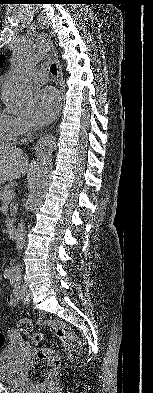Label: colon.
I'll return each instance as SVG.
<instances>
[{
	"instance_id": "5ec220e1",
	"label": "colon",
	"mask_w": 153,
	"mask_h": 393,
	"mask_svg": "<svg viewBox=\"0 0 153 393\" xmlns=\"http://www.w3.org/2000/svg\"><path fill=\"white\" fill-rule=\"evenodd\" d=\"M45 324L55 329L57 337L61 340L63 348L71 360H78L82 354V341L66 325L59 321L44 320ZM19 330L27 335L33 333V327L29 320L22 319L18 323ZM5 344V338L0 333V349ZM60 363L59 355L51 349H36L30 359L29 368L25 374L37 392H41L50 379L53 372L58 368Z\"/></svg>"
}]
</instances>
